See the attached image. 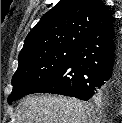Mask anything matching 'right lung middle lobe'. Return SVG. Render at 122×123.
I'll list each match as a JSON object with an SVG mask.
<instances>
[{"instance_id": "1", "label": "right lung middle lobe", "mask_w": 122, "mask_h": 123, "mask_svg": "<svg viewBox=\"0 0 122 123\" xmlns=\"http://www.w3.org/2000/svg\"><path fill=\"white\" fill-rule=\"evenodd\" d=\"M76 49H61L29 56L19 60L12 77L13 90L8 104L22 98L69 61Z\"/></svg>"}]
</instances>
